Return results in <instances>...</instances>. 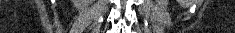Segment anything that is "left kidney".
Segmentation results:
<instances>
[{
  "instance_id": "1",
  "label": "left kidney",
  "mask_w": 235,
  "mask_h": 33,
  "mask_svg": "<svg viewBox=\"0 0 235 33\" xmlns=\"http://www.w3.org/2000/svg\"><path fill=\"white\" fill-rule=\"evenodd\" d=\"M159 4L162 5L163 8L167 7L169 0H157Z\"/></svg>"
}]
</instances>
